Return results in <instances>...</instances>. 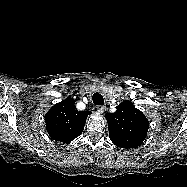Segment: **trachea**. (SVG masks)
<instances>
[{"mask_svg": "<svg viewBox=\"0 0 187 187\" xmlns=\"http://www.w3.org/2000/svg\"><path fill=\"white\" fill-rule=\"evenodd\" d=\"M92 99H93V103L95 105L102 106L104 104L103 96L100 93H98V92L93 94Z\"/></svg>", "mask_w": 187, "mask_h": 187, "instance_id": "3493384b", "label": "trachea"}]
</instances>
